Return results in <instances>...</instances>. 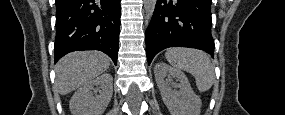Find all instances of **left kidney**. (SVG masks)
Segmentation results:
<instances>
[{
  "label": "left kidney",
  "instance_id": "1",
  "mask_svg": "<svg viewBox=\"0 0 285 115\" xmlns=\"http://www.w3.org/2000/svg\"><path fill=\"white\" fill-rule=\"evenodd\" d=\"M157 86L162 100L171 115H199L201 100L192 90L186 75L166 63L158 62L154 68ZM174 77L179 84L173 85L166 77ZM173 87L179 90H173Z\"/></svg>",
  "mask_w": 285,
  "mask_h": 115
}]
</instances>
